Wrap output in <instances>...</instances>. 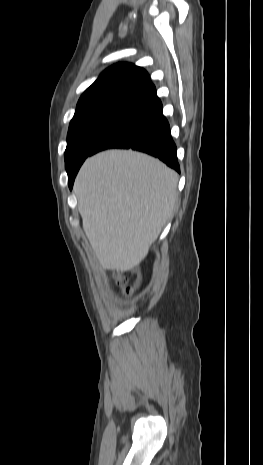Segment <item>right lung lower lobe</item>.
I'll return each instance as SVG.
<instances>
[{"mask_svg":"<svg viewBox=\"0 0 263 465\" xmlns=\"http://www.w3.org/2000/svg\"><path fill=\"white\" fill-rule=\"evenodd\" d=\"M162 109L156 90L142 97L102 137L91 155L105 149L131 148L155 156L179 172L176 145L172 140L170 126L163 116ZM79 168L68 174L70 189H72Z\"/></svg>","mask_w":263,"mask_h":465,"instance_id":"1","label":"right lung lower lobe"}]
</instances>
